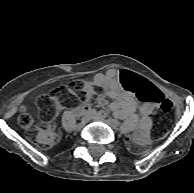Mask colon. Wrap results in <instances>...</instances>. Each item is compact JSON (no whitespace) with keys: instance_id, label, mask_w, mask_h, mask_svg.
Returning <instances> with one entry per match:
<instances>
[{"instance_id":"obj_1","label":"colon","mask_w":194,"mask_h":193,"mask_svg":"<svg viewBox=\"0 0 194 193\" xmlns=\"http://www.w3.org/2000/svg\"><path fill=\"white\" fill-rule=\"evenodd\" d=\"M119 80L127 90L136 94L139 101L143 103L150 102L158 104L160 110L164 114H169L172 111L173 105L171 101L163 97L161 93L156 92L153 86L146 79L123 70L119 74ZM65 88L79 92L83 96H88L90 92V83L85 81H72L67 85L61 86L58 90ZM61 105V101L56 98L53 103L54 108L58 109ZM18 124L25 131L26 136L41 148H52L60 140V134L54 124H35L33 117L26 107L20 108ZM156 131L157 127L154 129V132ZM127 144L129 150L133 152H137L140 149L139 143L133 138H129Z\"/></svg>"}]
</instances>
